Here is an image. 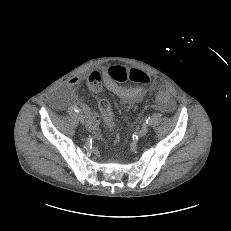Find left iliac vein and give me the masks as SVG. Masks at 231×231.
<instances>
[{
	"instance_id": "4c4485c4",
	"label": "left iliac vein",
	"mask_w": 231,
	"mask_h": 231,
	"mask_svg": "<svg viewBox=\"0 0 231 231\" xmlns=\"http://www.w3.org/2000/svg\"><path fill=\"white\" fill-rule=\"evenodd\" d=\"M147 132H148V125H143L142 126V128L140 129V131H139V136L140 137H143V136H145L146 134H147Z\"/></svg>"
}]
</instances>
